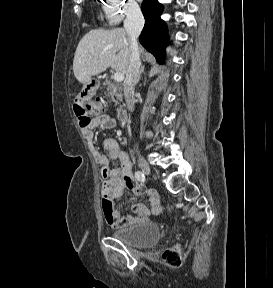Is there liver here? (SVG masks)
<instances>
[{
  "mask_svg": "<svg viewBox=\"0 0 273 288\" xmlns=\"http://www.w3.org/2000/svg\"><path fill=\"white\" fill-rule=\"evenodd\" d=\"M129 59L130 40L124 29H95L80 40L74 55L73 72L80 83L87 85L92 76L109 67L125 75Z\"/></svg>",
  "mask_w": 273,
  "mask_h": 288,
  "instance_id": "liver-1",
  "label": "liver"
}]
</instances>
